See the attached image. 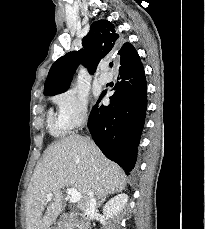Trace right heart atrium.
<instances>
[{"mask_svg":"<svg viewBox=\"0 0 205 229\" xmlns=\"http://www.w3.org/2000/svg\"><path fill=\"white\" fill-rule=\"evenodd\" d=\"M58 117L69 130L83 127L89 120L87 100L74 91H66L54 97Z\"/></svg>","mask_w":205,"mask_h":229,"instance_id":"obj_1","label":"right heart atrium"}]
</instances>
